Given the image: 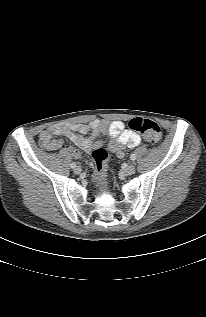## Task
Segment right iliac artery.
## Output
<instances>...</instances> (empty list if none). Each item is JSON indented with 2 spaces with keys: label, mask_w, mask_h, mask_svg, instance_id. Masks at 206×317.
<instances>
[{
  "label": "right iliac artery",
  "mask_w": 206,
  "mask_h": 317,
  "mask_svg": "<svg viewBox=\"0 0 206 317\" xmlns=\"http://www.w3.org/2000/svg\"><path fill=\"white\" fill-rule=\"evenodd\" d=\"M70 167H71L72 169H74V168H76V164H75L74 162H72V163L70 164Z\"/></svg>",
  "instance_id": "1"
}]
</instances>
